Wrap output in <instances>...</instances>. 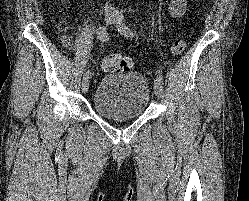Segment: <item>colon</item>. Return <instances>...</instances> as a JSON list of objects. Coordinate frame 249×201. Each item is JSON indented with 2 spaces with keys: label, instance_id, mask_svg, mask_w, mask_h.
<instances>
[{
  "label": "colon",
  "instance_id": "colon-1",
  "mask_svg": "<svg viewBox=\"0 0 249 201\" xmlns=\"http://www.w3.org/2000/svg\"><path fill=\"white\" fill-rule=\"evenodd\" d=\"M186 48V40L183 37L177 38L171 47V52L174 55L181 54ZM105 70H112L118 72H125L132 67L130 58L120 54H109L102 62Z\"/></svg>",
  "mask_w": 249,
  "mask_h": 201
}]
</instances>
